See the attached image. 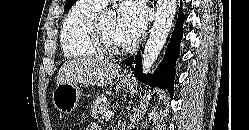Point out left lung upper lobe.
<instances>
[{
  "label": "left lung upper lobe",
  "instance_id": "obj_1",
  "mask_svg": "<svg viewBox=\"0 0 249 130\" xmlns=\"http://www.w3.org/2000/svg\"><path fill=\"white\" fill-rule=\"evenodd\" d=\"M75 2L76 0H66L64 10L65 11L69 10L74 5Z\"/></svg>",
  "mask_w": 249,
  "mask_h": 130
}]
</instances>
